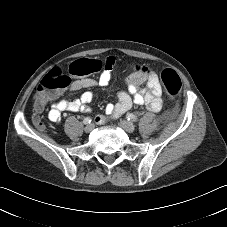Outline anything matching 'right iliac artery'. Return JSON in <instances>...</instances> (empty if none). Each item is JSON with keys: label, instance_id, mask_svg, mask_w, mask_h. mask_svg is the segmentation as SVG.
<instances>
[{"label": "right iliac artery", "instance_id": "82829eb1", "mask_svg": "<svg viewBox=\"0 0 227 227\" xmlns=\"http://www.w3.org/2000/svg\"><path fill=\"white\" fill-rule=\"evenodd\" d=\"M91 121H92V119H91L90 117H86V118L83 120L84 124H89V123H91Z\"/></svg>", "mask_w": 227, "mask_h": 227}]
</instances>
